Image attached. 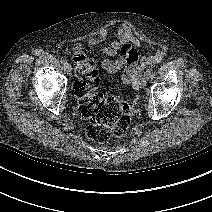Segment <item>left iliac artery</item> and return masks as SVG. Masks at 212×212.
<instances>
[{"label":"left iliac artery","instance_id":"44dca946","mask_svg":"<svg viewBox=\"0 0 212 212\" xmlns=\"http://www.w3.org/2000/svg\"><path fill=\"white\" fill-rule=\"evenodd\" d=\"M145 76H147L148 79L149 78L152 79L154 77V74H153L152 70L148 69L145 73Z\"/></svg>","mask_w":212,"mask_h":212}]
</instances>
